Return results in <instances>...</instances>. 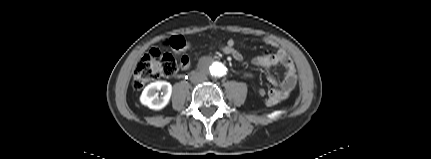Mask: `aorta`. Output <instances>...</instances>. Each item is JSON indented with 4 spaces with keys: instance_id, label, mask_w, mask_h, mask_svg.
I'll return each mask as SVG.
<instances>
[{
    "instance_id": "762f6f07",
    "label": "aorta",
    "mask_w": 431,
    "mask_h": 159,
    "mask_svg": "<svg viewBox=\"0 0 431 159\" xmlns=\"http://www.w3.org/2000/svg\"><path fill=\"white\" fill-rule=\"evenodd\" d=\"M207 72L214 77H221L226 73V67L220 62H210L207 65Z\"/></svg>"
}]
</instances>
